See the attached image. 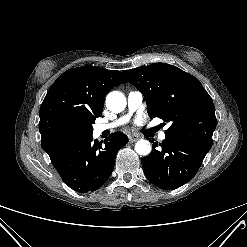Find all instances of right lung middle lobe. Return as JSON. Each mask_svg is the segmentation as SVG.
Here are the masks:
<instances>
[{
  "label": "right lung middle lobe",
  "mask_w": 247,
  "mask_h": 247,
  "mask_svg": "<svg viewBox=\"0 0 247 247\" xmlns=\"http://www.w3.org/2000/svg\"><path fill=\"white\" fill-rule=\"evenodd\" d=\"M93 123H94V122L89 123V124L86 126V128H85L80 134H78L77 137L79 138V137L91 135V134H92V124H93Z\"/></svg>",
  "instance_id": "obj_1"
}]
</instances>
